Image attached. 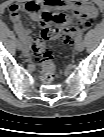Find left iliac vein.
<instances>
[{"instance_id": "left-iliac-vein-1", "label": "left iliac vein", "mask_w": 104, "mask_h": 137, "mask_svg": "<svg viewBox=\"0 0 104 137\" xmlns=\"http://www.w3.org/2000/svg\"><path fill=\"white\" fill-rule=\"evenodd\" d=\"M75 49H76L77 51H79V52L83 51V49H84V44H83V42L77 41V42H76V45H75Z\"/></svg>"}]
</instances>
